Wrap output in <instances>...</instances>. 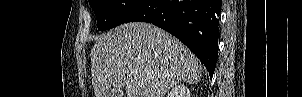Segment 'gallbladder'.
<instances>
[{"label":"gallbladder","instance_id":"1","mask_svg":"<svg viewBox=\"0 0 302 97\" xmlns=\"http://www.w3.org/2000/svg\"><path fill=\"white\" fill-rule=\"evenodd\" d=\"M122 96H123V91L116 92L114 90H111L110 92H108L106 97H122Z\"/></svg>","mask_w":302,"mask_h":97}]
</instances>
